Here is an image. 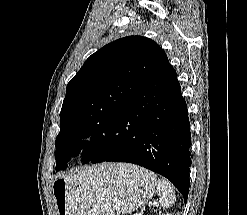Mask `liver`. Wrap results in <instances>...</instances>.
Returning <instances> with one entry per match:
<instances>
[{
	"label": "liver",
	"instance_id": "obj_1",
	"mask_svg": "<svg viewBox=\"0 0 247 215\" xmlns=\"http://www.w3.org/2000/svg\"><path fill=\"white\" fill-rule=\"evenodd\" d=\"M102 170H106L107 172H112L114 170L113 164H103Z\"/></svg>",
	"mask_w": 247,
	"mask_h": 215
}]
</instances>
